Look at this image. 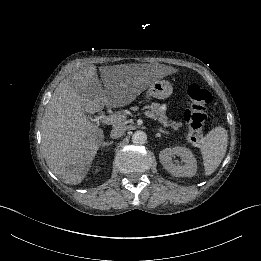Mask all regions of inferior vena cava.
Returning <instances> with one entry per match:
<instances>
[{"instance_id":"inferior-vena-cava-1","label":"inferior vena cava","mask_w":261,"mask_h":261,"mask_svg":"<svg viewBox=\"0 0 261 261\" xmlns=\"http://www.w3.org/2000/svg\"><path fill=\"white\" fill-rule=\"evenodd\" d=\"M125 127L122 125H116L110 132V137L112 139H117L124 135L125 133Z\"/></svg>"}]
</instances>
